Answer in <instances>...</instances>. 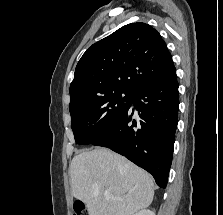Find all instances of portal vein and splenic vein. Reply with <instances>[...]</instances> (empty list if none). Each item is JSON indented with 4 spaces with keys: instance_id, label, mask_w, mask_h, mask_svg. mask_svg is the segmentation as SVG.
I'll return each instance as SVG.
<instances>
[{
    "instance_id": "1",
    "label": "portal vein and splenic vein",
    "mask_w": 223,
    "mask_h": 215,
    "mask_svg": "<svg viewBox=\"0 0 223 215\" xmlns=\"http://www.w3.org/2000/svg\"><path fill=\"white\" fill-rule=\"evenodd\" d=\"M105 195L107 199H123V197H114V195H110L109 189H105Z\"/></svg>"
}]
</instances>
